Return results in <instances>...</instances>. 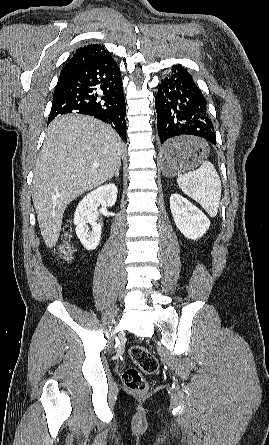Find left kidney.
<instances>
[{"mask_svg":"<svg viewBox=\"0 0 269 445\" xmlns=\"http://www.w3.org/2000/svg\"><path fill=\"white\" fill-rule=\"evenodd\" d=\"M170 210L177 228L188 239L197 240L209 229L206 215L180 194L171 195Z\"/></svg>","mask_w":269,"mask_h":445,"instance_id":"5707ae66","label":"left kidney"}]
</instances>
